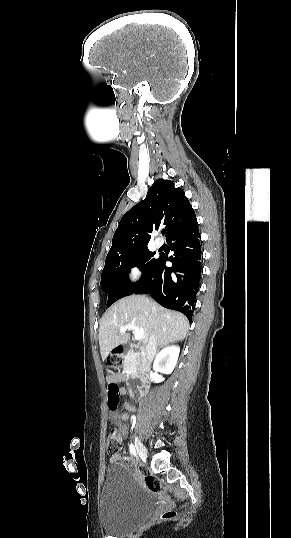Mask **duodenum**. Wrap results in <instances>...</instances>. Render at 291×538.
<instances>
[{"label": "duodenum", "mask_w": 291, "mask_h": 538, "mask_svg": "<svg viewBox=\"0 0 291 538\" xmlns=\"http://www.w3.org/2000/svg\"><path fill=\"white\" fill-rule=\"evenodd\" d=\"M117 353L121 356L129 354L133 358L139 360V365L135 369V372L137 374L146 373V368H148V365L145 364H149L150 357L148 355H144L143 351L139 347L121 346L117 349ZM127 382H129V395L131 397H141L143 394L147 393L149 389V384L136 380L134 373H129Z\"/></svg>", "instance_id": "duodenum-1"}]
</instances>
